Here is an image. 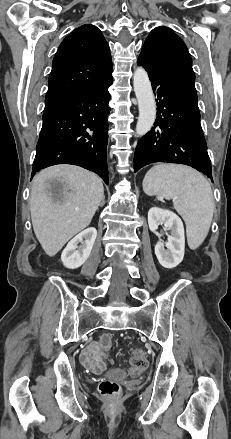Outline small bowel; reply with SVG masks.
<instances>
[{
  "instance_id": "c3829d8e",
  "label": "small bowel",
  "mask_w": 231,
  "mask_h": 439,
  "mask_svg": "<svg viewBox=\"0 0 231 439\" xmlns=\"http://www.w3.org/2000/svg\"><path fill=\"white\" fill-rule=\"evenodd\" d=\"M80 361L93 373H99L106 366V357L102 355L99 342L89 343L80 353Z\"/></svg>"
}]
</instances>
